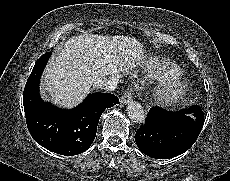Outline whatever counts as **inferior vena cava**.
Wrapping results in <instances>:
<instances>
[{"instance_id": "obj_1", "label": "inferior vena cava", "mask_w": 230, "mask_h": 181, "mask_svg": "<svg viewBox=\"0 0 230 181\" xmlns=\"http://www.w3.org/2000/svg\"><path fill=\"white\" fill-rule=\"evenodd\" d=\"M117 79L114 77H102L93 82L94 89L104 90L106 92H113L117 88Z\"/></svg>"}]
</instances>
